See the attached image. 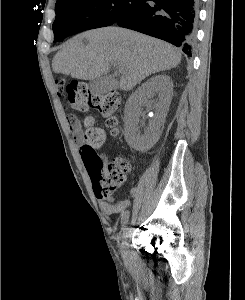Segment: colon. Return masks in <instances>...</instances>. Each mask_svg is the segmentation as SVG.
<instances>
[{
  "mask_svg": "<svg viewBox=\"0 0 245 300\" xmlns=\"http://www.w3.org/2000/svg\"><path fill=\"white\" fill-rule=\"evenodd\" d=\"M57 87L58 92L64 94L75 109L79 111H85L89 107L96 109L106 119L107 128L112 133L117 132L120 97L116 92L94 94L89 85L83 81L65 83L61 80L57 82ZM84 123L86 129L80 153L91 177L95 193L101 198H108L123 185L126 173L130 170V164L122 157L108 162L98 152L105 143V132L94 125L92 117H86Z\"/></svg>",
  "mask_w": 245,
  "mask_h": 300,
  "instance_id": "obj_1",
  "label": "colon"
}]
</instances>
